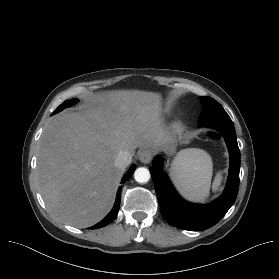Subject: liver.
Returning <instances> with one entry per match:
<instances>
[{
  "instance_id": "6515ba94",
  "label": "liver",
  "mask_w": 279,
  "mask_h": 279,
  "mask_svg": "<svg viewBox=\"0 0 279 279\" xmlns=\"http://www.w3.org/2000/svg\"><path fill=\"white\" fill-rule=\"evenodd\" d=\"M173 134L162 117L160 95L118 90L97 96L79 112L53 117L40 138L36 176L48 211L86 228L111 210L123 169L121 151L166 150Z\"/></svg>"
}]
</instances>
